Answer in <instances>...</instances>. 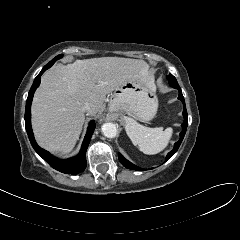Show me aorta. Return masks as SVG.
Segmentation results:
<instances>
[{
	"label": "aorta",
	"instance_id": "762f6f07",
	"mask_svg": "<svg viewBox=\"0 0 240 240\" xmlns=\"http://www.w3.org/2000/svg\"><path fill=\"white\" fill-rule=\"evenodd\" d=\"M102 133L107 138H114L118 133V128L114 123H105L101 127Z\"/></svg>",
	"mask_w": 240,
	"mask_h": 240
}]
</instances>
